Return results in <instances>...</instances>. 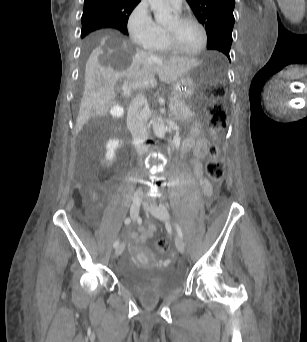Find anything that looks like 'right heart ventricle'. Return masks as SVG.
I'll list each match as a JSON object with an SVG mask.
<instances>
[{
  "label": "right heart ventricle",
  "instance_id": "e07e8e85",
  "mask_svg": "<svg viewBox=\"0 0 307 342\" xmlns=\"http://www.w3.org/2000/svg\"><path fill=\"white\" fill-rule=\"evenodd\" d=\"M150 49L155 50V51H161L164 52L166 51L163 47L162 42H157L149 46Z\"/></svg>",
  "mask_w": 307,
  "mask_h": 342
}]
</instances>
